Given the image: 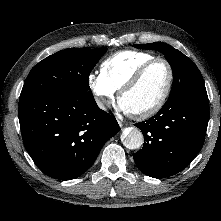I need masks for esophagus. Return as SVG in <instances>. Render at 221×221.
Masks as SVG:
<instances>
[{"mask_svg":"<svg viewBox=\"0 0 221 221\" xmlns=\"http://www.w3.org/2000/svg\"><path fill=\"white\" fill-rule=\"evenodd\" d=\"M118 124H119L120 128H123L125 126V123L122 121H118Z\"/></svg>","mask_w":221,"mask_h":221,"instance_id":"1","label":"esophagus"}]
</instances>
